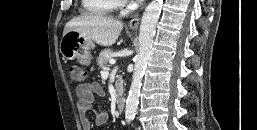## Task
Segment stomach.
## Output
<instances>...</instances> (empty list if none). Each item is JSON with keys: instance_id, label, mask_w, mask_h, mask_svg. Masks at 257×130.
Masks as SVG:
<instances>
[{"instance_id": "0dacf381", "label": "stomach", "mask_w": 257, "mask_h": 130, "mask_svg": "<svg viewBox=\"0 0 257 130\" xmlns=\"http://www.w3.org/2000/svg\"><path fill=\"white\" fill-rule=\"evenodd\" d=\"M93 47L94 44L92 40L82 36L76 31H68L63 34L59 49L64 59H77L83 64H89L92 59L91 49Z\"/></svg>"}]
</instances>
